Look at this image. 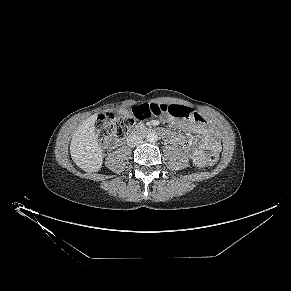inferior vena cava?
Here are the masks:
<instances>
[{
	"mask_svg": "<svg viewBox=\"0 0 291 291\" xmlns=\"http://www.w3.org/2000/svg\"><path fill=\"white\" fill-rule=\"evenodd\" d=\"M142 141L141 140H138V142L137 143H141Z\"/></svg>",
	"mask_w": 291,
	"mask_h": 291,
	"instance_id": "602c4592",
	"label": "inferior vena cava"
}]
</instances>
